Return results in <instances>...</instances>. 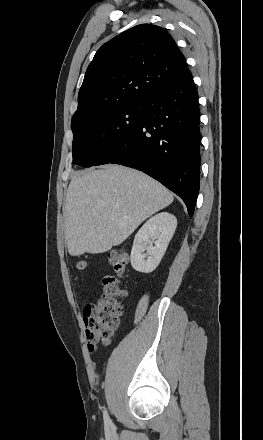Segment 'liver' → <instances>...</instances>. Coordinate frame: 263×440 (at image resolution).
Segmentation results:
<instances>
[{
  "instance_id": "1",
  "label": "liver",
  "mask_w": 263,
  "mask_h": 440,
  "mask_svg": "<svg viewBox=\"0 0 263 440\" xmlns=\"http://www.w3.org/2000/svg\"><path fill=\"white\" fill-rule=\"evenodd\" d=\"M173 200L159 182L128 167L108 165L76 173L69 184L64 208L69 254L109 251Z\"/></svg>"
}]
</instances>
